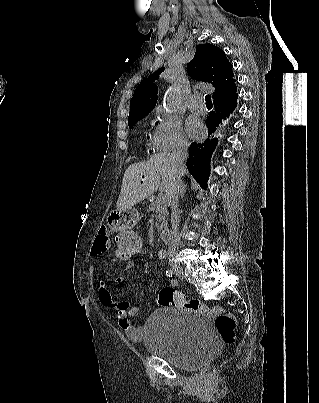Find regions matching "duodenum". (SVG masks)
I'll return each mask as SVG.
<instances>
[{"instance_id": "duodenum-1", "label": "duodenum", "mask_w": 319, "mask_h": 403, "mask_svg": "<svg viewBox=\"0 0 319 403\" xmlns=\"http://www.w3.org/2000/svg\"><path fill=\"white\" fill-rule=\"evenodd\" d=\"M160 236L162 241L167 245L170 246L171 244V237H170V231L168 229H163L160 232Z\"/></svg>"}]
</instances>
